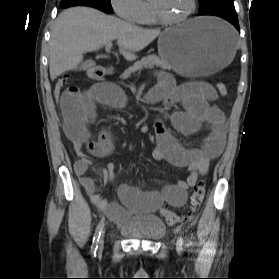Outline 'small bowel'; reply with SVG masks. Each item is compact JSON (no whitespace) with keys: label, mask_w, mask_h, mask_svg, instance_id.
<instances>
[{"label":"small bowel","mask_w":279,"mask_h":279,"mask_svg":"<svg viewBox=\"0 0 279 279\" xmlns=\"http://www.w3.org/2000/svg\"><path fill=\"white\" fill-rule=\"evenodd\" d=\"M216 96L214 88L206 82H189L176 87L171 76L165 73L159 75L158 85L148 95L151 101H163L156 116L157 145L152 151V157L185 167L189 175L185 181L168 184L161 190H140L122 184L119 189L121 206L106 200L98 192V183L107 179L118 182L114 164L109 163L98 172L97 182L88 176L92 161L84 151L96 157L111 153L113 145L110 132L103 130L97 140L92 139L90 127L96 119V104L123 108L127 103L126 96L120 87L111 83H99L87 89L66 88L59 100L63 129L79 156L74 166L75 173L92 202L117 223L124 222L128 212L153 213L164 203L174 207L183 206L187 200V190L197 184L200 176L207 174L210 161L220 156L224 149L225 117L212 103ZM175 102H180L183 109L170 112V106ZM165 118H168L176 131L185 136L195 135L203 124L209 126L210 132L200 146L185 149L168 131L164 124Z\"/></svg>","instance_id":"c3829d8e"}]
</instances>
